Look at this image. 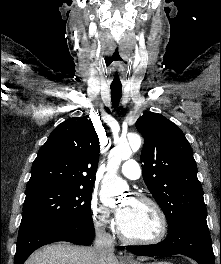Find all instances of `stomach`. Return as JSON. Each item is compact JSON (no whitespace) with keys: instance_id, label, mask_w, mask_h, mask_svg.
<instances>
[{"instance_id":"obj_1","label":"stomach","mask_w":221,"mask_h":264,"mask_svg":"<svg viewBox=\"0 0 221 264\" xmlns=\"http://www.w3.org/2000/svg\"><path fill=\"white\" fill-rule=\"evenodd\" d=\"M147 264H172L170 262H152V263H147Z\"/></svg>"}]
</instances>
